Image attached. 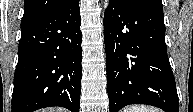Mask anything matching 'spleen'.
<instances>
[{
  "label": "spleen",
  "instance_id": "spleen-1",
  "mask_svg": "<svg viewBox=\"0 0 193 112\" xmlns=\"http://www.w3.org/2000/svg\"><path fill=\"white\" fill-rule=\"evenodd\" d=\"M123 112H158L154 107H147L144 105L130 106L125 108Z\"/></svg>",
  "mask_w": 193,
  "mask_h": 112
}]
</instances>
